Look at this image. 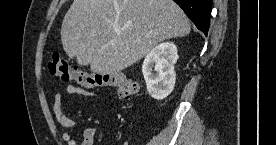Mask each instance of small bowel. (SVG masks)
Here are the masks:
<instances>
[{"mask_svg":"<svg viewBox=\"0 0 276 145\" xmlns=\"http://www.w3.org/2000/svg\"><path fill=\"white\" fill-rule=\"evenodd\" d=\"M67 94L79 95L83 97H95L96 93L89 91L85 88L76 87L74 85H68L66 87ZM63 96L61 93H56L53 97V115L59 126H61L66 131L62 135L63 141L66 145H77V143L72 138L68 130H73L78 128V123L70 119L63 110ZM98 134V130L95 127H88L83 132V141L81 145H94V139Z\"/></svg>","mask_w":276,"mask_h":145,"instance_id":"c3829d8e","label":"small bowel"}]
</instances>
